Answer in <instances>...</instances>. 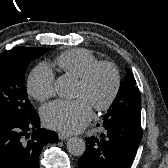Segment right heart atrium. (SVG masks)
<instances>
[{
  "instance_id": "1",
  "label": "right heart atrium",
  "mask_w": 168,
  "mask_h": 168,
  "mask_svg": "<svg viewBox=\"0 0 168 168\" xmlns=\"http://www.w3.org/2000/svg\"><path fill=\"white\" fill-rule=\"evenodd\" d=\"M26 88L28 94L37 101H44L55 93L54 74L46 65L36 66L30 73Z\"/></svg>"
}]
</instances>
